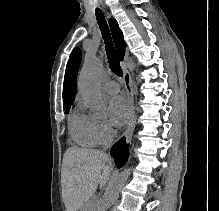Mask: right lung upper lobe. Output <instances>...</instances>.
Returning <instances> with one entry per match:
<instances>
[{
	"mask_svg": "<svg viewBox=\"0 0 219 211\" xmlns=\"http://www.w3.org/2000/svg\"><path fill=\"white\" fill-rule=\"evenodd\" d=\"M109 25L111 28L113 41L115 43L118 57L120 60L123 59L125 54L126 43L123 39L122 31L119 29L118 23L114 18L109 20ZM81 61V51L78 48H75L70 54L68 60L65 77H64V86H63V106L72 104L75 95H76V77L79 64Z\"/></svg>",
	"mask_w": 219,
	"mask_h": 211,
	"instance_id": "1",
	"label": "right lung upper lobe"
}]
</instances>
